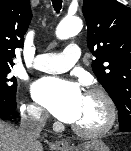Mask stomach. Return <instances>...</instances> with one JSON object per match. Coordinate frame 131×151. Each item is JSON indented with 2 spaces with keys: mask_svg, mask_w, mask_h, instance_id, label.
<instances>
[{
  "mask_svg": "<svg viewBox=\"0 0 131 151\" xmlns=\"http://www.w3.org/2000/svg\"><path fill=\"white\" fill-rule=\"evenodd\" d=\"M63 151H110L104 142L98 139H92L84 142L78 147L67 148Z\"/></svg>",
  "mask_w": 131,
  "mask_h": 151,
  "instance_id": "0dacf381",
  "label": "stomach"
}]
</instances>
